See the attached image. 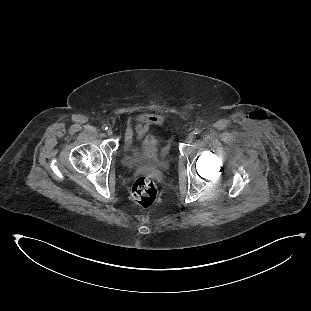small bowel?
Returning <instances> with one entry per match:
<instances>
[{
    "label": "small bowel",
    "mask_w": 311,
    "mask_h": 311,
    "mask_svg": "<svg viewBox=\"0 0 311 311\" xmlns=\"http://www.w3.org/2000/svg\"><path fill=\"white\" fill-rule=\"evenodd\" d=\"M159 118L151 114H142L133 122V128L138 137L144 136L151 127L159 124Z\"/></svg>",
    "instance_id": "1"
}]
</instances>
